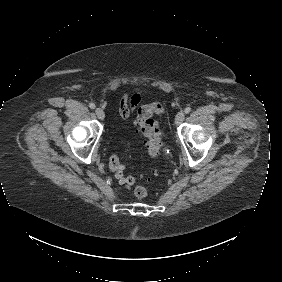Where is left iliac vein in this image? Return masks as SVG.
Masks as SVG:
<instances>
[{"label": "left iliac vein", "instance_id": "obj_1", "mask_svg": "<svg viewBox=\"0 0 282 282\" xmlns=\"http://www.w3.org/2000/svg\"><path fill=\"white\" fill-rule=\"evenodd\" d=\"M184 118H185L184 112H183V111H179V112L176 114V117H175V124H176V125L181 124V123L184 121Z\"/></svg>", "mask_w": 282, "mask_h": 282}]
</instances>
